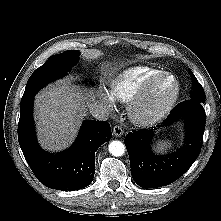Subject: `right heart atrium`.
I'll return each mask as SVG.
<instances>
[{"mask_svg": "<svg viewBox=\"0 0 221 221\" xmlns=\"http://www.w3.org/2000/svg\"><path fill=\"white\" fill-rule=\"evenodd\" d=\"M101 96L109 108L114 107V100L112 99V97L110 96V94L107 91H103L101 93Z\"/></svg>", "mask_w": 221, "mask_h": 221, "instance_id": "1", "label": "right heart atrium"}]
</instances>
